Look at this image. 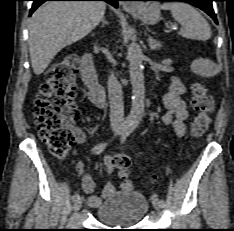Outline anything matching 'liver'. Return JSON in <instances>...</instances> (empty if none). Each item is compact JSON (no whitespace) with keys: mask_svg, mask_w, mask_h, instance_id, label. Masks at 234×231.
Listing matches in <instances>:
<instances>
[{"mask_svg":"<svg viewBox=\"0 0 234 231\" xmlns=\"http://www.w3.org/2000/svg\"><path fill=\"white\" fill-rule=\"evenodd\" d=\"M102 1H52L30 19L29 52L33 71L42 74L63 48L86 37L103 19Z\"/></svg>","mask_w":234,"mask_h":231,"instance_id":"liver-1","label":"liver"}]
</instances>
